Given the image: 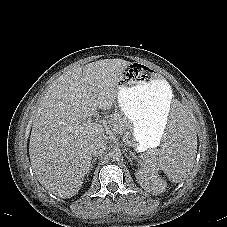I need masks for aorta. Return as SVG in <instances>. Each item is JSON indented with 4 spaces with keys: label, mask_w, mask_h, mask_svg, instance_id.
Here are the masks:
<instances>
[{
    "label": "aorta",
    "mask_w": 227,
    "mask_h": 227,
    "mask_svg": "<svg viewBox=\"0 0 227 227\" xmlns=\"http://www.w3.org/2000/svg\"><path fill=\"white\" fill-rule=\"evenodd\" d=\"M122 157V153L119 149H115L110 152V158L113 161H119Z\"/></svg>",
    "instance_id": "obj_1"
}]
</instances>
